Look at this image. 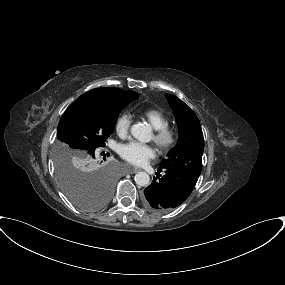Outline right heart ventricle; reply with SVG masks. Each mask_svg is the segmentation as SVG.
<instances>
[{
	"label": "right heart ventricle",
	"mask_w": 285,
	"mask_h": 285,
	"mask_svg": "<svg viewBox=\"0 0 285 285\" xmlns=\"http://www.w3.org/2000/svg\"><path fill=\"white\" fill-rule=\"evenodd\" d=\"M138 115L146 119L154 129H158L169 124L167 115L157 108L142 109L138 111Z\"/></svg>",
	"instance_id": "obj_1"
}]
</instances>
